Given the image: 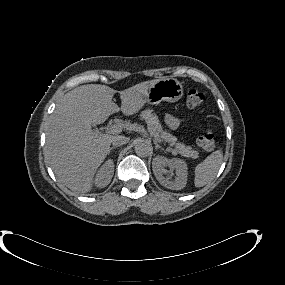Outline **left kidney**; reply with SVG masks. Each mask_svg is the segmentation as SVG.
I'll return each instance as SVG.
<instances>
[{
	"mask_svg": "<svg viewBox=\"0 0 285 285\" xmlns=\"http://www.w3.org/2000/svg\"><path fill=\"white\" fill-rule=\"evenodd\" d=\"M165 167H169L170 170H175L176 177L172 181L169 177H165L168 174V170ZM152 169L156 179L161 185L171 190H181L187 183V164L184 160L173 158L168 159L166 157L158 156L153 159Z\"/></svg>",
	"mask_w": 285,
	"mask_h": 285,
	"instance_id": "obj_1",
	"label": "left kidney"
}]
</instances>
